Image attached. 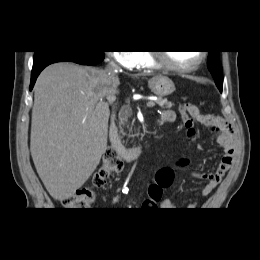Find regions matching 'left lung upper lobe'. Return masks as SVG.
<instances>
[{
	"label": "left lung upper lobe",
	"mask_w": 260,
	"mask_h": 260,
	"mask_svg": "<svg viewBox=\"0 0 260 260\" xmlns=\"http://www.w3.org/2000/svg\"><path fill=\"white\" fill-rule=\"evenodd\" d=\"M207 64L216 85L223 86V71L219 60V51H209Z\"/></svg>",
	"instance_id": "left-lung-upper-lobe-1"
}]
</instances>
